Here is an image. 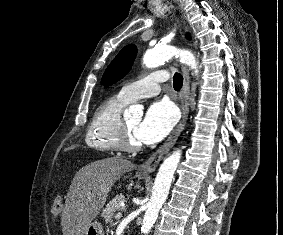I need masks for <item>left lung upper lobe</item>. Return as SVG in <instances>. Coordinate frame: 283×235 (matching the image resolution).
I'll list each match as a JSON object with an SVG mask.
<instances>
[{"label": "left lung upper lobe", "instance_id": "1", "mask_svg": "<svg viewBox=\"0 0 283 235\" xmlns=\"http://www.w3.org/2000/svg\"><path fill=\"white\" fill-rule=\"evenodd\" d=\"M136 53L137 49L135 45L130 44L125 46L107 67L102 77V84L109 86L123 78L130 70Z\"/></svg>", "mask_w": 283, "mask_h": 235}]
</instances>
